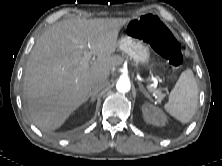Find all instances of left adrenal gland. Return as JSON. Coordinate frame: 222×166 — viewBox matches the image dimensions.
Masks as SVG:
<instances>
[{"instance_id":"obj_1","label":"left adrenal gland","mask_w":222,"mask_h":166,"mask_svg":"<svg viewBox=\"0 0 222 166\" xmlns=\"http://www.w3.org/2000/svg\"><path fill=\"white\" fill-rule=\"evenodd\" d=\"M139 84V89L140 91L147 97H149V94L147 93V91L145 90L144 86L141 84V83H138Z\"/></svg>"}]
</instances>
